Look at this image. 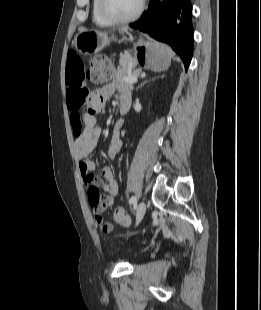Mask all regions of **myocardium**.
I'll use <instances>...</instances> for the list:
<instances>
[{"label":"myocardium","instance_id":"obj_1","mask_svg":"<svg viewBox=\"0 0 261 310\" xmlns=\"http://www.w3.org/2000/svg\"><path fill=\"white\" fill-rule=\"evenodd\" d=\"M97 6L100 15L108 22L112 24H127L137 20L141 16L145 7V0H140L137 10L132 15L123 18L110 14L106 9L105 0H97Z\"/></svg>","mask_w":261,"mask_h":310}]
</instances>
